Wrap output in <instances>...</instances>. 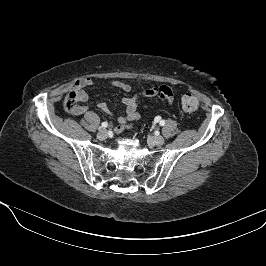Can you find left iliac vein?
I'll list each match as a JSON object with an SVG mask.
<instances>
[{"label":"left iliac vein","mask_w":266,"mask_h":266,"mask_svg":"<svg viewBox=\"0 0 266 266\" xmlns=\"http://www.w3.org/2000/svg\"><path fill=\"white\" fill-rule=\"evenodd\" d=\"M164 138L162 136H154L152 138V142L154 143V145L156 146H162L164 144Z\"/></svg>","instance_id":"obj_1"}]
</instances>
